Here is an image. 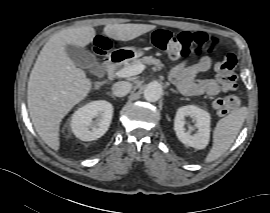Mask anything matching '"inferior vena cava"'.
<instances>
[{"label": "inferior vena cava", "mask_w": 270, "mask_h": 213, "mask_svg": "<svg viewBox=\"0 0 270 213\" xmlns=\"http://www.w3.org/2000/svg\"><path fill=\"white\" fill-rule=\"evenodd\" d=\"M131 88V83L127 81H119L113 85L112 93L117 97H124L130 92Z\"/></svg>", "instance_id": "obj_1"}]
</instances>
